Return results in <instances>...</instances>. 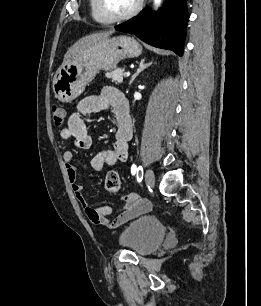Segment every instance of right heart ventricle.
<instances>
[{
    "label": "right heart ventricle",
    "mask_w": 261,
    "mask_h": 306,
    "mask_svg": "<svg viewBox=\"0 0 261 306\" xmlns=\"http://www.w3.org/2000/svg\"><path fill=\"white\" fill-rule=\"evenodd\" d=\"M89 8H90L91 16L96 22L102 23V24H107L110 22L99 11L97 0H89Z\"/></svg>",
    "instance_id": "1"
}]
</instances>
